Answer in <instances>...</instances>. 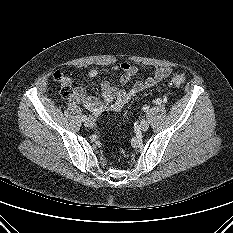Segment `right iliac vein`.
Returning a JSON list of instances; mask_svg holds the SVG:
<instances>
[{
  "label": "right iliac vein",
  "mask_w": 233,
  "mask_h": 233,
  "mask_svg": "<svg viewBox=\"0 0 233 233\" xmlns=\"http://www.w3.org/2000/svg\"><path fill=\"white\" fill-rule=\"evenodd\" d=\"M85 126L92 128L94 126V120L92 118H87V120L85 121Z\"/></svg>",
  "instance_id": "obj_1"
}]
</instances>
